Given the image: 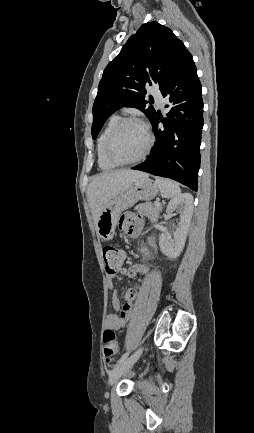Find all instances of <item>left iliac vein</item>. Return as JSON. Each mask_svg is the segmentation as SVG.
<instances>
[{"label":"left iliac vein","mask_w":254,"mask_h":433,"mask_svg":"<svg viewBox=\"0 0 254 433\" xmlns=\"http://www.w3.org/2000/svg\"><path fill=\"white\" fill-rule=\"evenodd\" d=\"M143 352V347L135 351L131 356L126 358L123 362L118 364L109 375V385L113 386L122 375H124L139 359Z\"/></svg>","instance_id":"left-iliac-vein-1"}]
</instances>
